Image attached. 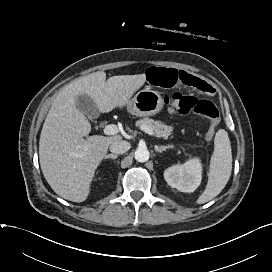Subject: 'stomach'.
Wrapping results in <instances>:
<instances>
[{"label": "stomach", "mask_w": 272, "mask_h": 272, "mask_svg": "<svg viewBox=\"0 0 272 272\" xmlns=\"http://www.w3.org/2000/svg\"><path fill=\"white\" fill-rule=\"evenodd\" d=\"M164 106L160 93L145 88L135 94L127 104L128 111L136 116H152L159 113Z\"/></svg>", "instance_id": "obj_1"}]
</instances>
